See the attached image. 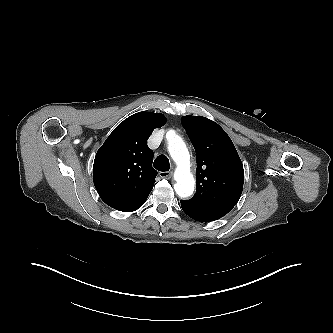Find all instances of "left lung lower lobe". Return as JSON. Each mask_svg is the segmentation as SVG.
I'll list each match as a JSON object with an SVG mask.
<instances>
[{"instance_id": "obj_1", "label": "left lung lower lobe", "mask_w": 333, "mask_h": 333, "mask_svg": "<svg viewBox=\"0 0 333 333\" xmlns=\"http://www.w3.org/2000/svg\"><path fill=\"white\" fill-rule=\"evenodd\" d=\"M181 207L189 217L199 222L215 221L222 217L213 211L194 205L184 200H181Z\"/></svg>"}]
</instances>
